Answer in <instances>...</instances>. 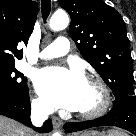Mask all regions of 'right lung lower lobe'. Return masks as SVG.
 Here are the masks:
<instances>
[{
  "mask_svg": "<svg viewBox=\"0 0 136 136\" xmlns=\"http://www.w3.org/2000/svg\"><path fill=\"white\" fill-rule=\"evenodd\" d=\"M0 114L12 118L26 126H31L30 101L28 90L17 97H0ZM40 133L52 130L51 120L48 119L44 126L37 128Z\"/></svg>",
  "mask_w": 136,
  "mask_h": 136,
  "instance_id": "1",
  "label": "right lung lower lobe"
}]
</instances>
